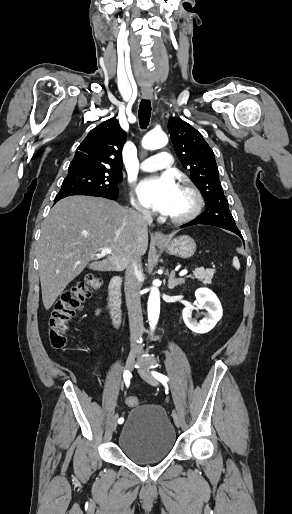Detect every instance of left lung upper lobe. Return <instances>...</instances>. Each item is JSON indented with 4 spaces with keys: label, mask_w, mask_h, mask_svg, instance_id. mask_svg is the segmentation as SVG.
I'll list each match as a JSON object with an SVG mask.
<instances>
[{
    "label": "left lung upper lobe",
    "mask_w": 292,
    "mask_h": 514,
    "mask_svg": "<svg viewBox=\"0 0 292 514\" xmlns=\"http://www.w3.org/2000/svg\"><path fill=\"white\" fill-rule=\"evenodd\" d=\"M168 131L177 156L204 196L207 211L197 218L204 223L239 230L224 196L215 156L208 143L195 128L180 118L169 120Z\"/></svg>",
    "instance_id": "5c2ea615"
}]
</instances>
